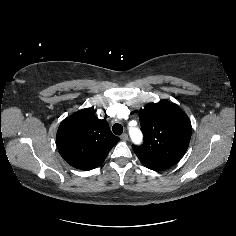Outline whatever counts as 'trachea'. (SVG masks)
I'll return each mask as SVG.
<instances>
[{"label":"trachea","mask_w":236,"mask_h":236,"mask_svg":"<svg viewBox=\"0 0 236 236\" xmlns=\"http://www.w3.org/2000/svg\"><path fill=\"white\" fill-rule=\"evenodd\" d=\"M112 131L116 135H121L123 132V126L121 124L116 123L113 125Z\"/></svg>","instance_id":"3493384b"}]
</instances>
